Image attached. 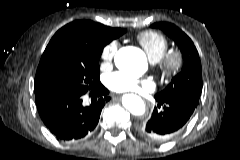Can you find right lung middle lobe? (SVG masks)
<instances>
[{"mask_svg": "<svg viewBox=\"0 0 240 160\" xmlns=\"http://www.w3.org/2000/svg\"><path fill=\"white\" fill-rule=\"evenodd\" d=\"M119 29L109 36H94L84 25H66L47 45L37 68L35 95L50 90L85 94L99 84L98 60L103 48L124 34Z\"/></svg>", "mask_w": 240, "mask_h": 160, "instance_id": "right-lung-middle-lobe-1", "label": "right lung middle lobe"}]
</instances>
